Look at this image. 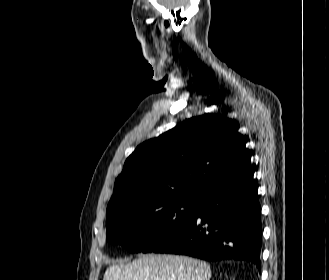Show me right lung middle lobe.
<instances>
[{"label":"right lung middle lobe","mask_w":329,"mask_h":280,"mask_svg":"<svg viewBox=\"0 0 329 280\" xmlns=\"http://www.w3.org/2000/svg\"><path fill=\"white\" fill-rule=\"evenodd\" d=\"M199 197L148 196L107 208V241L129 252H152L173 238L199 206Z\"/></svg>","instance_id":"1"}]
</instances>
